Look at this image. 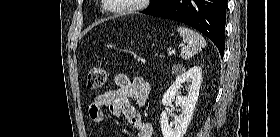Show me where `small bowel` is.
Segmentation results:
<instances>
[{
	"instance_id": "obj_1",
	"label": "small bowel",
	"mask_w": 280,
	"mask_h": 137,
	"mask_svg": "<svg viewBox=\"0 0 280 137\" xmlns=\"http://www.w3.org/2000/svg\"><path fill=\"white\" fill-rule=\"evenodd\" d=\"M115 88H108L92 96L88 112L94 123L104 118L103 108L108 107L115 118L124 117L136 128L137 137H151L152 126L146 122L137 106L147 100L150 93L149 83L140 76L130 78L125 73L114 76Z\"/></svg>"
}]
</instances>
